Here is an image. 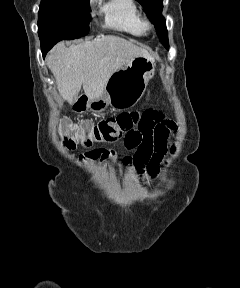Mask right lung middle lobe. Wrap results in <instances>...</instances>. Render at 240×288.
Here are the masks:
<instances>
[{
	"label": "right lung middle lobe",
	"mask_w": 240,
	"mask_h": 288,
	"mask_svg": "<svg viewBox=\"0 0 240 288\" xmlns=\"http://www.w3.org/2000/svg\"><path fill=\"white\" fill-rule=\"evenodd\" d=\"M90 19L89 0H42L38 12L41 46L88 34Z\"/></svg>",
	"instance_id": "dd1d6c3e"
}]
</instances>
